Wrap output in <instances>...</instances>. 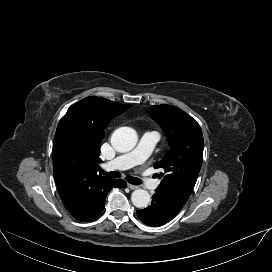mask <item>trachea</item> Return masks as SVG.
<instances>
[{"label":"trachea","instance_id":"3493384b","mask_svg":"<svg viewBox=\"0 0 272 272\" xmlns=\"http://www.w3.org/2000/svg\"><path fill=\"white\" fill-rule=\"evenodd\" d=\"M101 174L107 175L112 178H120L121 174L118 171H111V172H105L104 170H100ZM126 180L133 185H139L141 184V180L139 178L133 177V176H127Z\"/></svg>","mask_w":272,"mask_h":272}]
</instances>
